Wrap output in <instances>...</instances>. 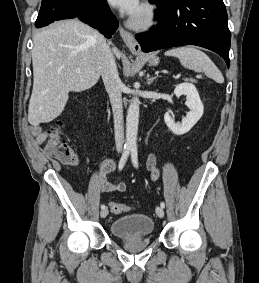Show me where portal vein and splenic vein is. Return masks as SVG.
<instances>
[{
	"label": "portal vein and splenic vein",
	"instance_id": "obj_1",
	"mask_svg": "<svg viewBox=\"0 0 259 283\" xmlns=\"http://www.w3.org/2000/svg\"><path fill=\"white\" fill-rule=\"evenodd\" d=\"M75 71H76V72H80V69L77 68ZM178 77H179V75L176 76V78H178Z\"/></svg>",
	"mask_w": 259,
	"mask_h": 283
}]
</instances>
